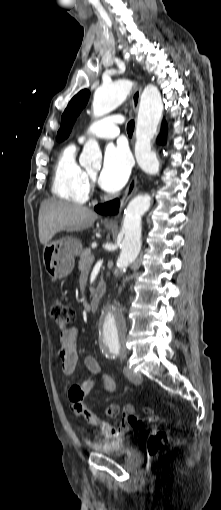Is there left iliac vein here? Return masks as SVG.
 <instances>
[{
    "label": "left iliac vein",
    "mask_w": 221,
    "mask_h": 510,
    "mask_svg": "<svg viewBox=\"0 0 221 510\" xmlns=\"http://www.w3.org/2000/svg\"><path fill=\"white\" fill-rule=\"evenodd\" d=\"M125 355L121 354L123 358ZM124 373L126 377L134 384H140L142 382V375L139 373L133 372L128 366L124 367Z\"/></svg>",
    "instance_id": "left-iliac-vein-1"
}]
</instances>
